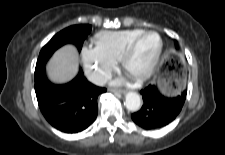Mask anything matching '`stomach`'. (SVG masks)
Wrapping results in <instances>:
<instances>
[{
  "label": "stomach",
  "instance_id": "0dacf381",
  "mask_svg": "<svg viewBox=\"0 0 225 155\" xmlns=\"http://www.w3.org/2000/svg\"><path fill=\"white\" fill-rule=\"evenodd\" d=\"M159 90L167 96L178 95L183 87V79L168 67H160L155 76Z\"/></svg>",
  "mask_w": 225,
  "mask_h": 155
}]
</instances>
